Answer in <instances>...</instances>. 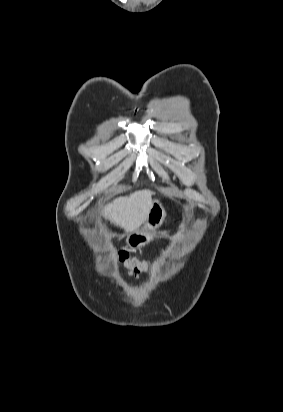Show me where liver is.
<instances>
[{
	"label": "liver",
	"instance_id": "obj_1",
	"mask_svg": "<svg viewBox=\"0 0 283 412\" xmlns=\"http://www.w3.org/2000/svg\"><path fill=\"white\" fill-rule=\"evenodd\" d=\"M152 194V191L141 190L118 197L104 207V217L127 233L136 231L147 220Z\"/></svg>",
	"mask_w": 283,
	"mask_h": 412
}]
</instances>
